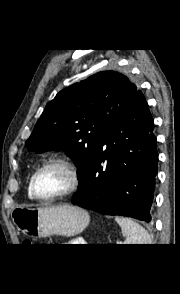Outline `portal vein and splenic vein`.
Returning <instances> with one entry per match:
<instances>
[{"label": "portal vein and splenic vein", "instance_id": "obj_1", "mask_svg": "<svg viewBox=\"0 0 180 294\" xmlns=\"http://www.w3.org/2000/svg\"><path fill=\"white\" fill-rule=\"evenodd\" d=\"M122 242H118L117 244H121Z\"/></svg>", "mask_w": 180, "mask_h": 294}]
</instances>
